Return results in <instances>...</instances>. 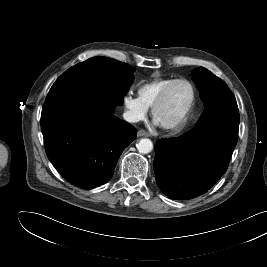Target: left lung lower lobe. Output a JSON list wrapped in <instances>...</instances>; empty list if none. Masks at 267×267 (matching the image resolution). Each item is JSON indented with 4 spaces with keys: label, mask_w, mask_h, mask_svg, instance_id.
<instances>
[{
    "label": "left lung lower lobe",
    "mask_w": 267,
    "mask_h": 267,
    "mask_svg": "<svg viewBox=\"0 0 267 267\" xmlns=\"http://www.w3.org/2000/svg\"><path fill=\"white\" fill-rule=\"evenodd\" d=\"M239 117L217 114L177 138L155 144L156 182L172 199H191L207 192L226 172L236 146Z\"/></svg>",
    "instance_id": "obj_1"
}]
</instances>
